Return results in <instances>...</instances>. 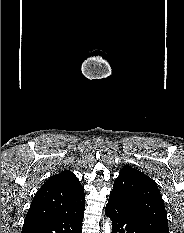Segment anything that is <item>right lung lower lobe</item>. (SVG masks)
Instances as JSON below:
<instances>
[{
	"label": "right lung lower lobe",
	"instance_id": "right-lung-lower-lobe-1",
	"mask_svg": "<svg viewBox=\"0 0 184 233\" xmlns=\"http://www.w3.org/2000/svg\"><path fill=\"white\" fill-rule=\"evenodd\" d=\"M84 212L22 230V233H81Z\"/></svg>",
	"mask_w": 184,
	"mask_h": 233
}]
</instances>
